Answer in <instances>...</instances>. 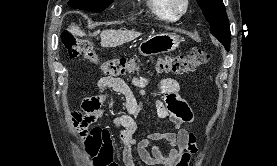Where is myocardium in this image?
Wrapping results in <instances>:
<instances>
[{
    "label": "myocardium",
    "mask_w": 277,
    "mask_h": 166,
    "mask_svg": "<svg viewBox=\"0 0 277 166\" xmlns=\"http://www.w3.org/2000/svg\"><path fill=\"white\" fill-rule=\"evenodd\" d=\"M182 6L179 8L176 5V0H166L167 6L169 10L176 16H182L184 15L190 6V0H181Z\"/></svg>",
    "instance_id": "myocardium-1"
}]
</instances>
